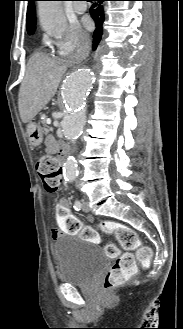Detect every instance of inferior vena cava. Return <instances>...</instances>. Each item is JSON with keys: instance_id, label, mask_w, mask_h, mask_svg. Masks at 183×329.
Segmentation results:
<instances>
[{"instance_id": "inferior-vena-cava-1", "label": "inferior vena cava", "mask_w": 183, "mask_h": 329, "mask_svg": "<svg viewBox=\"0 0 183 329\" xmlns=\"http://www.w3.org/2000/svg\"><path fill=\"white\" fill-rule=\"evenodd\" d=\"M88 53V48L85 46H81L77 49V52L74 56V59L79 60L82 59L83 57H85Z\"/></svg>"}]
</instances>
